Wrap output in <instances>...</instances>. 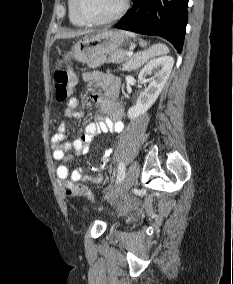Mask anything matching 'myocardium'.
<instances>
[{
    "instance_id": "1",
    "label": "myocardium",
    "mask_w": 233,
    "mask_h": 284,
    "mask_svg": "<svg viewBox=\"0 0 233 284\" xmlns=\"http://www.w3.org/2000/svg\"><path fill=\"white\" fill-rule=\"evenodd\" d=\"M129 0H123L121 7L112 16L104 19H94L89 17L83 10V0H76L75 10L78 17L89 25H104L118 20L128 9Z\"/></svg>"
}]
</instances>
